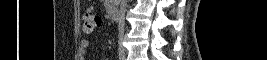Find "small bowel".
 Masks as SVG:
<instances>
[{
	"mask_svg": "<svg viewBox=\"0 0 267 60\" xmlns=\"http://www.w3.org/2000/svg\"><path fill=\"white\" fill-rule=\"evenodd\" d=\"M82 44H83L84 48H87L88 45H89V41L88 40H83Z\"/></svg>",
	"mask_w": 267,
	"mask_h": 60,
	"instance_id": "c3829d8e",
	"label": "small bowel"
}]
</instances>
